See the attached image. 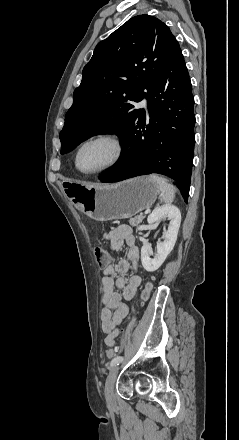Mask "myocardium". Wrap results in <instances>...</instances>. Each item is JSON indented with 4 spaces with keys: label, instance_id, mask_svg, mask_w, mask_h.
Here are the masks:
<instances>
[{
    "label": "myocardium",
    "instance_id": "1",
    "mask_svg": "<svg viewBox=\"0 0 239 440\" xmlns=\"http://www.w3.org/2000/svg\"><path fill=\"white\" fill-rule=\"evenodd\" d=\"M99 140H105L108 141L112 144L113 148H114V155L113 158L111 159V161L106 164L105 166L94 170V171H82L79 167V156H80V152L81 150L89 143L94 142V141H99ZM125 152V145L124 142L122 140V138L117 135L116 133L113 132H100V133H96L93 134L89 137H87L86 139H84L80 145L78 146L76 153H75V159H74V163H75V167L76 169L83 175H99L105 172L110 171L111 169L115 168L119 162L121 161L123 155Z\"/></svg>",
    "mask_w": 239,
    "mask_h": 440
}]
</instances>
